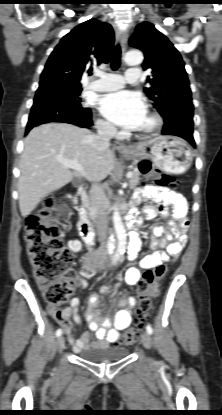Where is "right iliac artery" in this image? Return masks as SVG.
I'll return each instance as SVG.
<instances>
[{"mask_svg": "<svg viewBox=\"0 0 222 415\" xmlns=\"http://www.w3.org/2000/svg\"><path fill=\"white\" fill-rule=\"evenodd\" d=\"M61 334H62V329H58L56 331V336L59 337V336H61Z\"/></svg>", "mask_w": 222, "mask_h": 415, "instance_id": "1", "label": "right iliac artery"}]
</instances>
